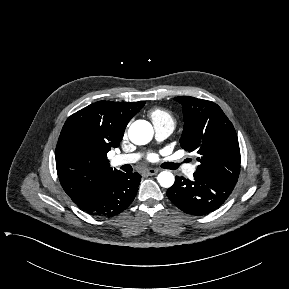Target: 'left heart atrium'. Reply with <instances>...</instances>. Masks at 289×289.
I'll list each match as a JSON object with an SVG mask.
<instances>
[{
  "mask_svg": "<svg viewBox=\"0 0 289 289\" xmlns=\"http://www.w3.org/2000/svg\"><path fill=\"white\" fill-rule=\"evenodd\" d=\"M148 159H149V161H156V160H157V155H155V154H150V155L148 156Z\"/></svg>",
  "mask_w": 289,
  "mask_h": 289,
  "instance_id": "39dd6f15",
  "label": "left heart atrium"
}]
</instances>
